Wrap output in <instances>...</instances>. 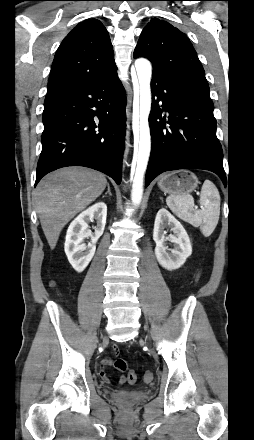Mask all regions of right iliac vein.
Instances as JSON below:
<instances>
[{"label": "right iliac vein", "instance_id": "1", "mask_svg": "<svg viewBox=\"0 0 254 440\" xmlns=\"http://www.w3.org/2000/svg\"><path fill=\"white\" fill-rule=\"evenodd\" d=\"M103 340L105 341V340H107V338H106V337H104V338H103Z\"/></svg>", "mask_w": 254, "mask_h": 440}]
</instances>
